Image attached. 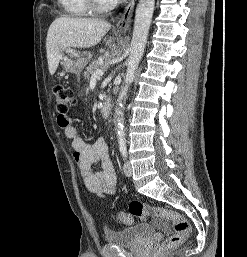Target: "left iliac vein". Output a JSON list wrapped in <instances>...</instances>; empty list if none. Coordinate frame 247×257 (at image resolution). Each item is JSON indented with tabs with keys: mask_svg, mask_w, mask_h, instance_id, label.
<instances>
[{
	"mask_svg": "<svg viewBox=\"0 0 247 257\" xmlns=\"http://www.w3.org/2000/svg\"><path fill=\"white\" fill-rule=\"evenodd\" d=\"M123 171H124V174L127 176V177H130L132 176V167H131V164L127 161L125 162L124 166H123Z\"/></svg>",
	"mask_w": 247,
	"mask_h": 257,
	"instance_id": "obj_1",
	"label": "left iliac vein"
}]
</instances>
